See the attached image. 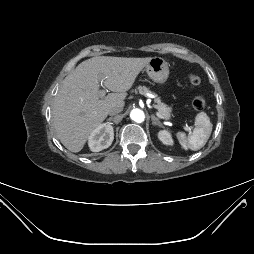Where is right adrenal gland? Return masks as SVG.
<instances>
[{
    "label": "right adrenal gland",
    "mask_w": 254,
    "mask_h": 254,
    "mask_svg": "<svg viewBox=\"0 0 254 254\" xmlns=\"http://www.w3.org/2000/svg\"><path fill=\"white\" fill-rule=\"evenodd\" d=\"M113 119V117H110L107 119L108 122H111V120Z\"/></svg>",
    "instance_id": "obj_1"
}]
</instances>
